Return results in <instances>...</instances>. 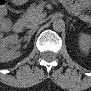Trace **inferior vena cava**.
Segmentation results:
<instances>
[{
	"instance_id": "602c4592",
	"label": "inferior vena cava",
	"mask_w": 91,
	"mask_h": 91,
	"mask_svg": "<svg viewBox=\"0 0 91 91\" xmlns=\"http://www.w3.org/2000/svg\"><path fill=\"white\" fill-rule=\"evenodd\" d=\"M43 21L41 19L35 21V22H32L30 24L27 25V28H35L37 27L38 24H41Z\"/></svg>"
}]
</instances>
